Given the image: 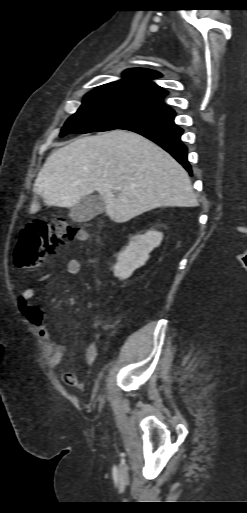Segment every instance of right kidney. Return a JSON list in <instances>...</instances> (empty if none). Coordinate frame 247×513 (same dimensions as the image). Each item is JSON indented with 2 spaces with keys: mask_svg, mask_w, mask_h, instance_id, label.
<instances>
[{
  "mask_svg": "<svg viewBox=\"0 0 247 513\" xmlns=\"http://www.w3.org/2000/svg\"><path fill=\"white\" fill-rule=\"evenodd\" d=\"M162 239L163 234L154 230L133 236L129 245L117 256V263L113 268L114 275L121 279L130 277L134 270L146 263L149 253L160 245Z\"/></svg>",
  "mask_w": 247,
  "mask_h": 513,
  "instance_id": "obj_1",
  "label": "right kidney"
}]
</instances>
